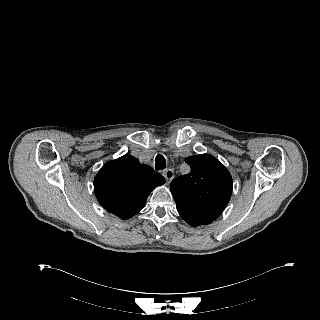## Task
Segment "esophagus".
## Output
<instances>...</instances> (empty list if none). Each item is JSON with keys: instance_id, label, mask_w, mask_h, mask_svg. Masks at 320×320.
Here are the masks:
<instances>
[{"instance_id": "obj_1", "label": "esophagus", "mask_w": 320, "mask_h": 320, "mask_svg": "<svg viewBox=\"0 0 320 320\" xmlns=\"http://www.w3.org/2000/svg\"><path fill=\"white\" fill-rule=\"evenodd\" d=\"M163 176L165 177L167 183L169 184L174 177V171L172 169H166L163 171Z\"/></svg>"}]
</instances>
